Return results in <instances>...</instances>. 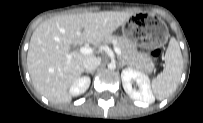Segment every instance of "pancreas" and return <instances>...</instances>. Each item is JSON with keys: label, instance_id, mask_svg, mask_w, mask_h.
I'll list each match as a JSON object with an SVG mask.
<instances>
[{"label": "pancreas", "instance_id": "1", "mask_svg": "<svg viewBox=\"0 0 203 123\" xmlns=\"http://www.w3.org/2000/svg\"><path fill=\"white\" fill-rule=\"evenodd\" d=\"M108 40L114 42V44L120 48L121 58L124 59L128 65L134 66L145 73L153 72V61L150 58L137 55L135 53V46L129 40L117 36H111Z\"/></svg>", "mask_w": 203, "mask_h": 123}]
</instances>
